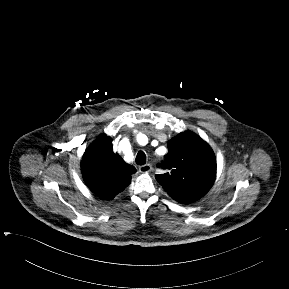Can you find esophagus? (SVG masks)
I'll return each mask as SVG.
<instances>
[{"instance_id": "1", "label": "esophagus", "mask_w": 289, "mask_h": 289, "mask_svg": "<svg viewBox=\"0 0 289 289\" xmlns=\"http://www.w3.org/2000/svg\"><path fill=\"white\" fill-rule=\"evenodd\" d=\"M152 170V166L150 164H145L139 167V171L141 173H149Z\"/></svg>"}]
</instances>
